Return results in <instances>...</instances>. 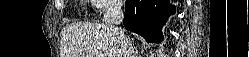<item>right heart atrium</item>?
I'll return each instance as SVG.
<instances>
[{"label": "right heart atrium", "mask_w": 249, "mask_h": 57, "mask_svg": "<svg viewBox=\"0 0 249 57\" xmlns=\"http://www.w3.org/2000/svg\"><path fill=\"white\" fill-rule=\"evenodd\" d=\"M93 5L97 7L99 10H108L113 9L115 6L119 4L118 1L114 0H94Z\"/></svg>", "instance_id": "d8ad5b80"}]
</instances>
